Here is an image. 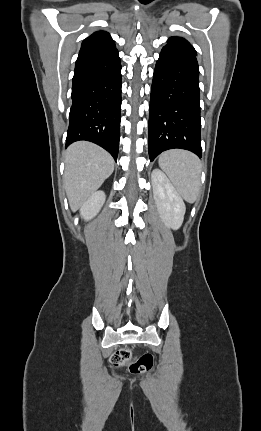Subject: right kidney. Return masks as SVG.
<instances>
[{
  "label": "right kidney",
  "instance_id": "right-kidney-1",
  "mask_svg": "<svg viewBox=\"0 0 261 431\" xmlns=\"http://www.w3.org/2000/svg\"><path fill=\"white\" fill-rule=\"evenodd\" d=\"M106 199V195L103 191L95 192L91 195L88 200L83 204L80 209L81 217L88 221L94 218L100 211Z\"/></svg>",
  "mask_w": 261,
  "mask_h": 431
}]
</instances>
